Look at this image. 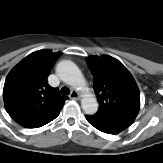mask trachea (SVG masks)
<instances>
[{"instance_id": "obj_1", "label": "trachea", "mask_w": 163, "mask_h": 163, "mask_svg": "<svg viewBox=\"0 0 163 163\" xmlns=\"http://www.w3.org/2000/svg\"><path fill=\"white\" fill-rule=\"evenodd\" d=\"M61 94L69 95L70 94V90L67 87H62Z\"/></svg>"}]
</instances>
